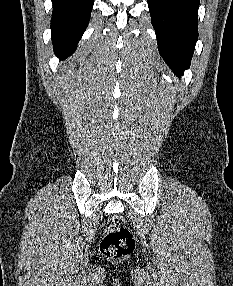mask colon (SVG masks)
<instances>
[{"label": "colon", "instance_id": "obj_1", "mask_svg": "<svg viewBox=\"0 0 233 286\" xmlns=\"http://www.w3.org/2000/svg\"><path fill=\"white\" fill-rule=\"evenodd\" d=\"M135 240L132 232L119 216H112L106 225L101 252L107 258H120L132 252Z\"/></svg>", "mask_w": 233, "mask_h": 286}]
</instances>
